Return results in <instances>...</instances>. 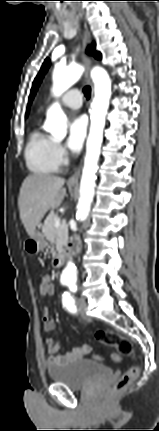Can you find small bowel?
I'll return each instance as SVG.
<instances>
[{
    "label": "small bowel",
    "mask_w": 159,
    "mask_h": 431,
    "mask_svg": "<svg viewBox=\"0 0 159 431\" xmlns=\"http://www.w3.org/2000/svg\"><path fill=\"white\" fill-rule=\"evenodd\" d=\"M40 277H41V280H40L41 295L43 297L49 296L48 283H49V278L51 277V272L45 271L44 273L41 274ZM43 326H44V330L48 333L54 332L55 330L54 321L52 320V317L47 308H45L43 312ZM46 344H47V350L49 353V357L47 360L48 365H64L72 361L81 359L90 352V347L86 344H83L73 348L70 352L66 353L65 355H58L57 352L59 350V343L55 338L53 337L47 338Z\"/></svg>",
    "instance_id": "c3829d8e"
}]
</instances>
